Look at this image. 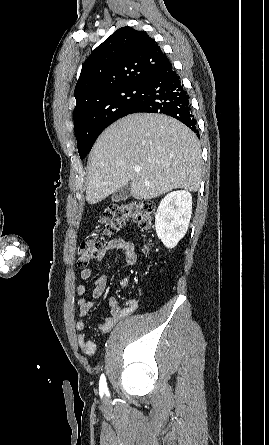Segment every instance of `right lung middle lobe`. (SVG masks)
I'll list each match as a JSON object with an SVG mask.
<instances>
[{"label": "right lung middle lobe", "instance_id": "1", "mask_svg": "<svg viewBox=\"0 0 269 445\" xmlns=\"http://www.w3.org/2000/svg\"><path fill=\"white\" fill-rule=\"evenodd\" d=\"M146 84H133L96 96L74 111V129L80 158L91 150L100 133L132 112L146 92Z\"/></svg>", "mask_w": 269, "mask_h": 445}]
</instances>
